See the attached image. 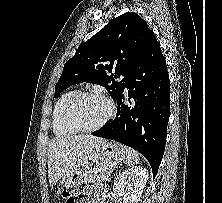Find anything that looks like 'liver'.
Segmentation results:
<instances>
[{"mask_svg": "<svg viewBox=\"0 0 222 203\" xmlns=\"http://www.w3.org/2000/svg\"><path fill=\"white\" fill-rule=\"evenodd\" d=\"M105 142L92 135L56 137L48 145V177L53 188L60 178L89 160L93 151Z\"/></svg>", "mask_w": 222, "mask_h": 203, "instance_id": "1", "label": "liver"}]
</instances>
